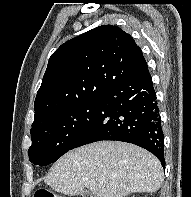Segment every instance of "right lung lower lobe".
Here are the masks:
<instances>
[{
    "instance_id": "98d812e1",
    "label": "right lung lower lobe",
    "mask_w": 191,
    "mask_h": 197,
    "mask_svg": "<svg viewBox=\"0 0 191 197\" xmlns=\"http://www.w3.org/2000/svg\"><path fill=\"white\" fill-rule=\"evenodd\" d=\"M95 115L70 150L101 140L133 143L165 167L164 136L152 78L146 67L104 90Z\"/></svg>"
}]
</instances>
